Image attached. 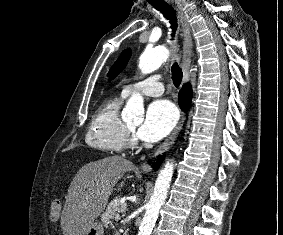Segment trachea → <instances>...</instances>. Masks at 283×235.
Instances as JSON below:
<instances>
[{
	"mask_svg": "<svg viewBox=\"0 0 283 235\" xmlns=\"http://www.w3.org/2000/svg\"><path fill=\"white\" fill-rule=\"evenodd\" d=\"M152 6L160 11L166 19L170 21L171 29H172V37L175 35V31L177 29V18L175 10L167 3H153ZM172 72V80L176 87H178L182 81V70L179 65L175 62L171 67Z\"/></svg>",
	"mask_w": 283,
	"mask_h": 235,
	"instance_id": "trachea-1",
	"label": "trachea"
}]
</instances>
